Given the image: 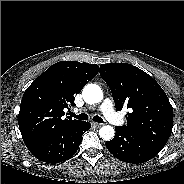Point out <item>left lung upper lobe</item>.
Instances as JSON below:
<instances>
[{
    "mask_svg": "<svg viewBox=\"0 0 184 184\" xmlns=\"http://www.w3.org/2000/svg\"><path fill=\"white\" fill-rule=\"evenodd\" d=\"M100 75L111 90L116 110H130L122 127L162 149L172 132L173 108L160 85L128 63L102 64Z\"/></svg>",
    "mask_w": 184,
    "mask_h": 184,
    "instance_id": "obj_1",
    "label": "left lung upper lobe"
}]
</instances>
